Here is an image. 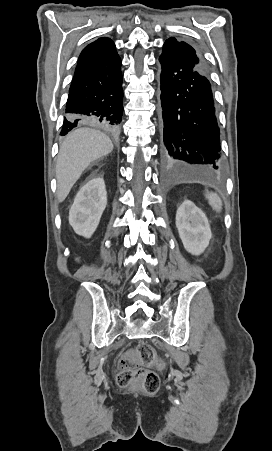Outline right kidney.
<instances>
[{"label": "right kidney", "instance_id": "1", "mask_svg": "<svg viewBox=\"0 0 272 451\" xmlns=\"http://www.w3.org/2000/svg\"><path fill=\"white\" fill-rule=\"evenodd\" d=\"M107 206V192L103 178H92L75 196L69 210V224L78 235L91 237Z\"/></svg>", "mask_w": 272, "mask_h": 451}]
</instances>
